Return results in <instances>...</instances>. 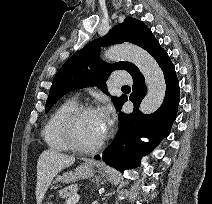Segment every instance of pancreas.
<instances>
[{
    "mask_svg": "<svg viewBox=\"0 0 212 204\" xmlns=\"http://www.w3.org/2000/svg\"><path fill=\"white\" fill-rule=\"evenodd\" d=\"M78 186L76 184L66 187L65 189L59 190V196L65 201L77 194Z\"/></svg>",
    "mask_w": 212,
    "mask_h": 204,
    "instance_id": "obj_1",
    "label": "pancreas"
}]
</instances>
